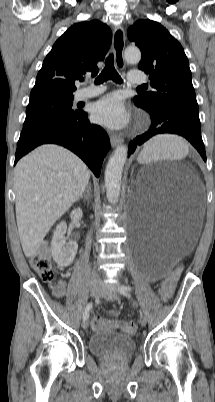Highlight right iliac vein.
Segmentation results:
<instances>
[{"instance_id":"1","label":"right iliac vein","mask_w":215,"mask_h":402,"mask_svg":"<svg viewBox=\"0 0 215 402\" xmlns=\"http://www.w3.org/2000/svg\"><path fill=\"white\" fill-rule=\"evenodd\" d=\"M90 292H91V295H92V296L96 297V296H98L99 293H100V287H99L97 284H92V285H91V288H90ZM88 325H89L88 320H84V321L82 322V327H83L84 329H87V328H88Z\"/></svg>"}]
</instances>
